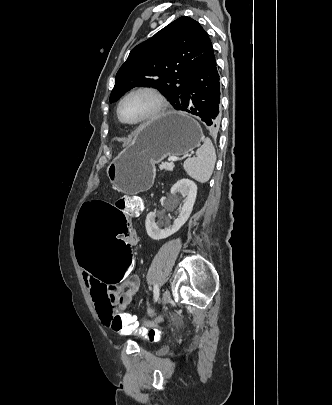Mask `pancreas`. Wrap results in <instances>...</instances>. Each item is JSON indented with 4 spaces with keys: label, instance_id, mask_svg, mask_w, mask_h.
<instances>
[{
    "label": "pancreas",
    "instance_id": "obj_1",
    "mask_svg": "<svg viewBox=\"0 0 332 405\" xmlns=\"http://www.w3.org/2000/svg\"><path fill=\"white\" fill-rule=\"evenodd\" d=\"M160 169L161 170H166V171H172L173 167H170V163L168 162H163L162 164H160Z\"/></svg>",
    "mask_w": 332,
    "mask_h": 405
}]
</instances>
